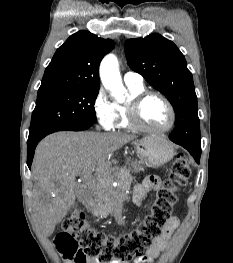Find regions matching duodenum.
Returning a JSON list of instances; mask_svg holds the SVG:
<instances>
[{
	"label": "duodenum",
	"mask_w": 233,
	"mask_h": 263,
	"mask_svg": "<svg viewBox=\"0 0 233 263\" xmlns=\"http://www.w3.org/2000/svg\"><path fill=\"white\" fill-rule=\"evenodd\" d=\"M85 206L88 210H92L95 207V200L92 197H87Z\"/></svg>",
	"instance_id": "obj_1"
}]
</instances>
